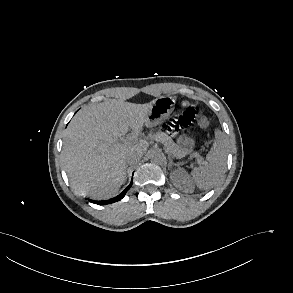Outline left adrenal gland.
I'll list each match as a JSON object with an SVG mask.
<instances>
[{"instance_id":"a2214340","label":"left adrenal gland","mask_w":293,"mask_h":293,"mask_svg":"<svg viewBox=\"0 0 293 293\" xmlns=\"http://www.w3.org/2000/svg\"><path fill=\"white\" fill-rule=\"evenodd\" d=\"M172 165H174L172 159L169 157V165H168V169L170 170L172 168Z\"/></svg>"}]
</instances>
